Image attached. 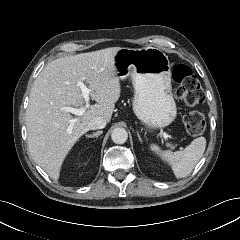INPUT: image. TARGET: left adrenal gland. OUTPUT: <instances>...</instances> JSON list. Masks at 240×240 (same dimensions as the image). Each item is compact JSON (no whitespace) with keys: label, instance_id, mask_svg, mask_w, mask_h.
Instances as JSON below:
<instances>
[{"label":"left adrenal gland","instance_id":"obj_1","mask_svg":"<svg viewBox=\"0 0 240 240\" xmlns=\"http://www.w3.org/2000/svg\"><path fill=\"white\" fill-rule=\"evenodd\" d=\"M137 136H138V138H139L140 142H142V139H141V137H140L139 133H137Z\"/></svg>","mask_w":240,"mask_h":240}]
</instances>
